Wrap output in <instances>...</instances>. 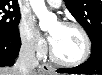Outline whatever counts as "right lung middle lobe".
I'll return each instance as SVG.
<instances>
[{
    "mask_svg": "<svg viewBox=\"0 0 102 75\" xmlns=\"http://www.w3.org/2000/svg\"><path fill=\"white\" fill-rule=\"evenodd\" d=\"M13 8V10H11ZM20 12L16 3L0 2V34L14 36L19 33Z\"/></svg>",
    "mask_w": 102,
    "mask_h": 75,
    "instance_id": "1",
    "label": "right lung middle lobe"
}]
</instances>
